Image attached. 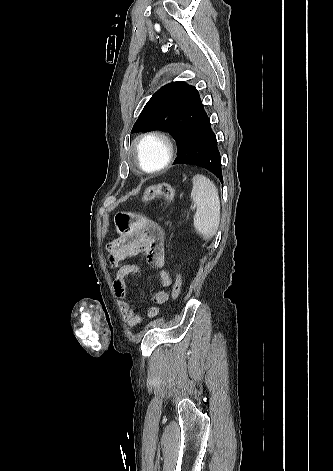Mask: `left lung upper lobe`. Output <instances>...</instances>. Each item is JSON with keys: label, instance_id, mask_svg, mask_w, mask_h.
Here are the masks:
<instances>
[{"label": "left lung upper lobe", "instance_id": "obj_1", "mask_svg": "<svg viewBox=\"0 0 333 471\" xmlns=\"http://www.w3.org/2000/svg\"><path fill=\"white\" fill-rule=\"evenodd\" d=\"M205 115L200 95L194 86L183 81L171 82L153 94L131 133L168 131L177 140L179 154Z\"/></svg>", "mask_w": 333, "mask_h": 471}]
</instances>
